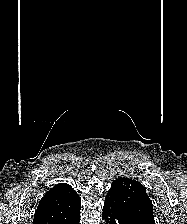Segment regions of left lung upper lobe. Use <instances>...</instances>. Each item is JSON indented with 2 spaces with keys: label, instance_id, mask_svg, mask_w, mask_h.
<instances>
[{
  "label": "left lung upper lobe",
  "instance_id": "5c2ea615",
  "mask_svg": "<svg viewBox=\"0 0 187 224\" xmlns=\"http://www.w3.org/2000/svg\"><path fill=\"white\" fill-rule=\"evenodd\" d=\"M108 194L113 196L120 207L132 219L155 224L153 204L149 199L145 187L130 178L114 180Z\"/></svg>",
  "mask_w": 187,
  "mask_h": 224
}]
</instances>
